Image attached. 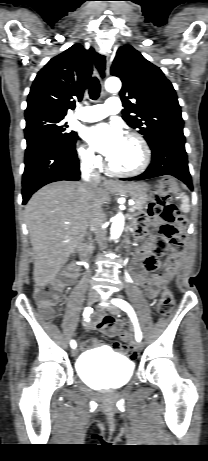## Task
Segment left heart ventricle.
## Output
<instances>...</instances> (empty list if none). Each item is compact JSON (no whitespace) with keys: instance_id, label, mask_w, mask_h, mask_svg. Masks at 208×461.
<instances>
[{"instance_id":"left-heart-ventricle-1","label":"left heart ventricle","mask_w":208,"mask_h":461,"mask_svg":"<svg viewBox=\"0 0 208 461\" xmlns=\"http://www.w3.org/2000/svg\"><path fill=\"white\" fill-rule=\"evenodd\" d=\"M142 155L138 144L125 138L118 152L110 158L112 165L119 170H132L140 165Z\"/></svg>"}]
</instances>
